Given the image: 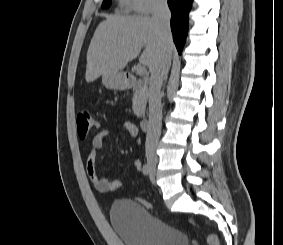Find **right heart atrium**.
<instances>
[{"label": "right heart atrium", "mask_w": 283, "mask_h": 245, "mask_svg": "<svg viewBox=\"0 0 283 245\" xmlns=\"http://www.w3.org/2000/svg\"><path fill=\"white\" fill-rule=\"evenodd\" d=\"M133 11L147 14L164 5L165 0H128Z\"/></svg>", "instance_id": "right-heart-atrium-1"}]
</instances>
